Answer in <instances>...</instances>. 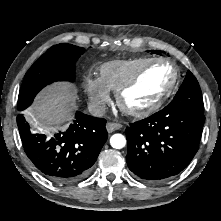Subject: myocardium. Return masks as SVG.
Listing matches in <instances>:
<instances>
[{"label":"myocardium","mask_w":221,"mask_h":221,"mask_svg":"<svg viewBox=\"0 0 221 221\" xmlns=\"http://www.w3.org/2000/svg\"><path fill=\"white\" fill-rule=\"evenodd\" d=\"M167 64L173 70V77L168 85V87L148 106L134 109L129 107L125 102V94L129 91L132 87H134L141 76L154 64ZM180 73L178 66L173 63L171 60L166 58H154L148 60L143 66H141L126 82H124L116 91V102L118 107L124 112L126 115L135 118H143L147 117L154 112H156L164 102L172 95L174 92L178 81H179Z\"/></svg>","instance_id":"f54148a6"}]
</instances>
